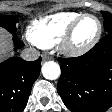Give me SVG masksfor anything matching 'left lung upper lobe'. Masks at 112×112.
<instances>
[{
  "mask_svg": "<svg viewBox=\"0 0 112 112\" xmlns=\"http://www.w3.org/2000/svg\"><path fill=\"white\" fill-rule=\"evenodd\" d=\"M104 17V28L106 33H112V14L106 11H102Z\"/></svg>",
  "mask_w": 112,
  "mask_h": 112,
  "instance_id": "1",
  "label": "left lung upper lobe"
}]
</instances>
